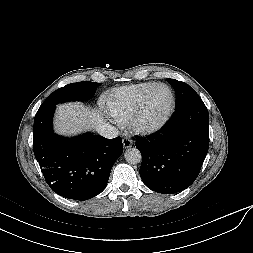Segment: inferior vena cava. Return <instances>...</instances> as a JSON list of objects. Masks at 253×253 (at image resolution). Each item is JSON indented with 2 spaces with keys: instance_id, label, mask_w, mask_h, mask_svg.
<instances>
[{
  "instance_id": "1",
  "label": "inferior vena cava",
  "mask_w": 253,
  "mask_h": 253,
  "mask_svg": "<svg viewBox=\"0 0 253 253\" xmlns=\"http://www.w3.org/2000/svg\"><path fill=\"white\" fill-rule=\"evenodd\" d=\"M95 129L99 135L109 139L115 138L119 134L118 129L108 123L98 124Z\"/></svg>"
}]
</instances>
